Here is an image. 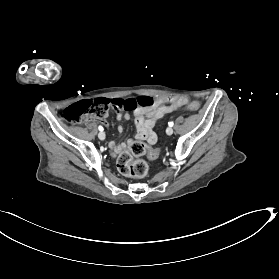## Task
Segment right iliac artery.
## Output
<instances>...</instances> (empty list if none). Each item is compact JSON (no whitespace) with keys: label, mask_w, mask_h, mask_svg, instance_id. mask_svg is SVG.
Segmentation results:
<instances>
[{"label":"right iliac artery","mask_w":279,"mask_h":279,"mask_svg":"<svg viewBox=\"0 0 279 279\" xmlns=\"http://www.w3.org/2000/svg\"><path fill=\"white\" fill-rule=\"evenodd\" d=\"M98 129H99L100 131H103V127H102V126H99Z\"/></svg>","instance_id":"right-iliac-artery-1"}]
</instances>
